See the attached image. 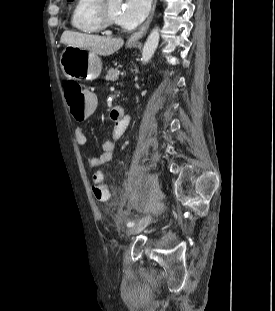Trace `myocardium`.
I'll list each match as a JSON object with an SVG mask.
<instances>
[{
    "mask_svg": "<svg viewBox=\"0 0 275 311\" xmlns=\"http://www.w3.org/2000/svg\"><path fill=\"white\" fill-rule=\"evenodd\" d=\"M109 0H100V3L96 10L97 20L103 30L111 29L118 25V22L113 19L108 10Z\"/></svg>",
    "mask_w": 275,
    "mask_h": 311,
    "instance_id": "f54148a6",
    "label": "myocardium"
}]
</instances>
